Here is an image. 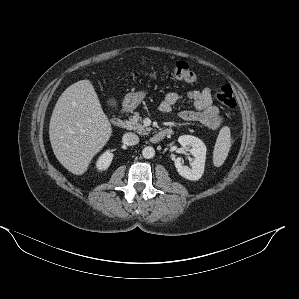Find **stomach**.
<instances>
[{"mask_svg":"<svg viewBox=\"0 0 299 299\" xmlns=\"http://www.w3.org/2000/svg\"><path fill=\"white\" fill-rule=\"evenodd\" d=\"M145 95V92H136L129 94L125 102L126 108L129 110L135 109L145 98Z\"/></svg>","mask_w":299,"mask_h":299,"instance_id":"obj_1","label":"stomach"}]
</instances>
